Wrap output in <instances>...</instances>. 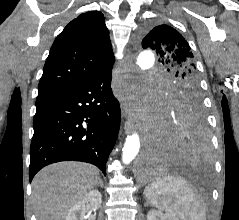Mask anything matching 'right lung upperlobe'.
<instances>
[{
  "label": "right lung upper lobe",
  "instance_id": "cb5924a9",
  "mask_svg": "<svg viewBox=\"0 0 239 220\" xmlns=\"http://www.w3.org/2000/svg\"><path fill=\"white\" fill-rule=\"evenodd\" d=\"M101 12L81 14L57 36L45 62L38 95L80 85L113 67L115 58Z\"/></svg>",
  "mask_w": 239,
  "mask_h": 220
}]
</instances>
